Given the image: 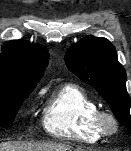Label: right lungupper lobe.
Returning <instances> with one entry per match:
<instances>
[{
  "label": "right lung upper lobe",
  "mask_w": 131,
  "mask_h": 151,
  "mask_svg": "<svg viewBox=\"0 0 131 151\" xmlns=\"http://www.w3.org/2000/svg\"><path fill=\"white\" fill-rule=\"evenodd\" d=\"M0 55V84L36 86L48 64V51L24 40L6 42Z\"/></svg>",
  "instance_id": "1"
}]
</instances>
